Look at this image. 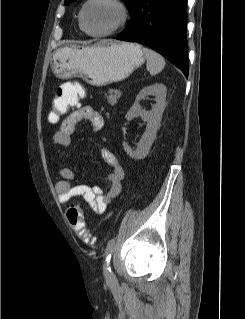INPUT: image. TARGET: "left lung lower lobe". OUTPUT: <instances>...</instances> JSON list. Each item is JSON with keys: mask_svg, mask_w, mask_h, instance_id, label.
Listing matches in <instances>:
<instances>
[{"mask_svg": "<svg viewBox=\"0 0 245 319\" xmlns=\"http://www.w3.org/2000/svg\"><path fill=\"white\" fill-rule=\"evenodd\" d=\"M187 0H139L115 39L138 42L163 55L188 76Z\"/></svg>", "mask_w": 245, "mask_h": 319, "instance_id": "1", "label": "left lung lower lobe"}]
</instances>
